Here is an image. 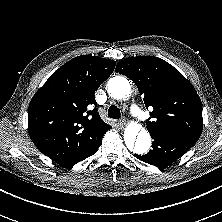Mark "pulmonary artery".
Returning <instances> with one entry per match:
<instances>
[{
  "mask_svg": "<svg viewBox=\"0 0 222 222\" xmlns=\"http://www.w3.org/2000/svg\"><path fill=\"white\" fill-rule=\"evenodd\" d=\"M129 107H130V112L134 117L142 115L140 108L135 103H131Z\"/></svg>",
  "mask_w": 222,
  "mask_h": 222,
  "instance_id": "1",
  "label": "pulmonary artery"
}]
</instances>
